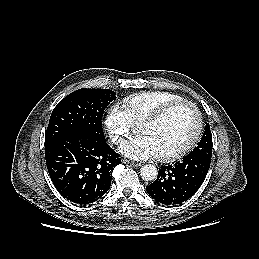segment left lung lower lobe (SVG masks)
I'll return each mask as SVG.
<instances>
[{
    "label": "left lung lower lobe",
    "instance_id": "0a47b994",
    "mask_svg": "<svg viewBox=\"0 0 259 259\" xmlns=\"http://www.w3.org/2000/svg\"><path fill=\"white\" fill-rule=\"evenodd\" d=\"M211 161L187 155L173 166H163L155 182L146 187L156 201L171 205L192 197L202 185Z\"/></svg>",
    "mask_w": 259,
    "mask_h": 259
}]
</instances>
